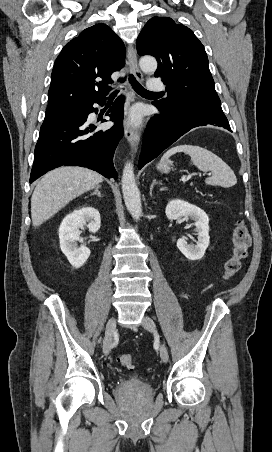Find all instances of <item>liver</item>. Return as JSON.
<instances>
[{
  "label": "liver",
  "mask_w": 272,
  "mask_h": 452,
  "mask_svg": "<svg viewBox=\"0 0 272 452\" xmlns=\"http://www.w3.org/2000/svg\"><path fill=\"white\" fill-rule=\"evenodd\" d=\"M103 181L97 172L83 167H60L48 172L31 197L32 224L36 228L53 217L70 201Z\"/></svg>",
  "instance_id": "liver-1"
}]
</instances>
